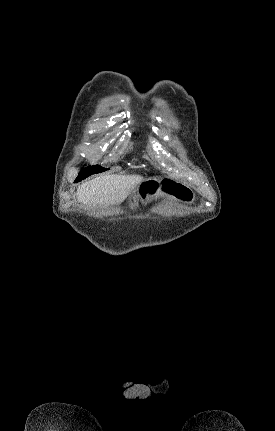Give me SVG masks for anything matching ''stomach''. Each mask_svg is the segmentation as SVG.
<instances>
[{
    "label": "stomach",
    "instance_id": "stomach-1",
    "mask_svg": "<svg viewBox=\"0 0 275 431\" xmlns=\"http://www.w3.org/2000/svg\"><path fill=\"white\" fill-rule=\"evenodd\" d=\"M157 197L174 199L186 204H194L195 194L186 184L168 177H152L142 180L129 196L134 203L138 198L150 202Z\"/></svg>",
    "mask_w": 275,
    "mask_h": 431
}]
</instances>
